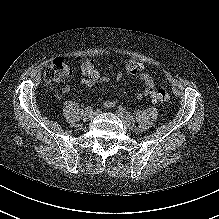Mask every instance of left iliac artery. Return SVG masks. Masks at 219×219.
Segmentation results:
<instances>
[{"label": "left iliac artery", "instance_id": "1", "mask_svg": "<svg viewBox=\"0 0 219 219\" xmlns=\"http://www.w3.org/2000/svg\"><path fill=\"white\" fill-rule=\"evenodd\" d=\"M120 109H121V111H122L125 115H127V116H129V117L132 118L131 114H130L125 108L120 107Z\"/></svg>", "mask_w": 219, "mask_h": 219}]
</instances>
